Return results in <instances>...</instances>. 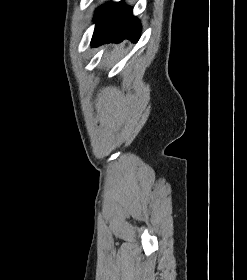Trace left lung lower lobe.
<instances>
[{
	"mask_svg": "<svg viewBox=\"0 0 247 280\" xmlns=\"http://www.w3.org/2000/svg\"><path fill=\"white\" fill-rule=\"evenodd\" d=\"M94 22L96 23L91 45L130 39L136 42L140 38L141 25L132 15V8L121 2H109L98 8Z\"/></svg>",
	"mask_w": 247,
	"mask_h": 280,
	"instance_id": "1",
	"label": "left lung lower lobe"
}]
</instances>
